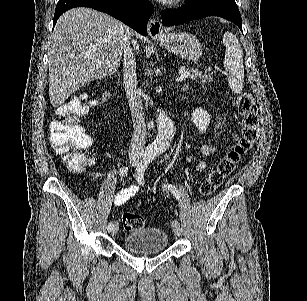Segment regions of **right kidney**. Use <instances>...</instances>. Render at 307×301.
Returning a JSON list of instances; mask_svg holds the SVG:
<instances>
[{
	"label": "right kidney",
	"mask_w": 307,
	"mask_h": 301,
	"mask_svg": "<svg viewBox=\"0 0 307 301\" xmlns=\"http://www.w3.org/2000/svg\"><path fill=\"white\" fill-rule=\"evenodd\" d=\"M103 98L104 100H107V98H111L110 92H107V90H105V92H103Z\"/></svg>",
	"instance_id": "obj_1"
}]
</instances>
